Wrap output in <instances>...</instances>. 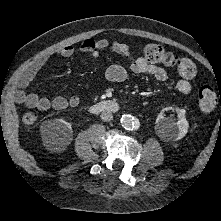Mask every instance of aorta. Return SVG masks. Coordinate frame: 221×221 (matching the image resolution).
<instances>
[{
	"label": "aorta",
	"mask_w": 221,
	"mask_h": 221,
	"mask_svg": "<svg viewBox=\"0 0 221 221\" xmlns=\"http://www.w3.org/2000/svg\"><path fill=\"white\" fill-rule=\"evenodd\" d=\"M121 124L127 130L138 129L140 126L139 120L130 114L122 115Z\"/></svg>",
	"instance_id": "1"
}]
</instances>
